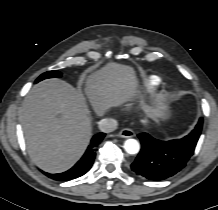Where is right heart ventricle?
<instances>
[{
  "instance_id": "right-heart-ventricle-1",
  "label": "right heart ventricle",
  "mask_w": 218,
  "mask_h": 210,
  "mask_svg": "<svg viewBox=\"0 0 218 210\" xmlns=\"http://www.w3.org/2000/svg\"><path fill=\"white\" fill-rule=\"evenodd\" d=\"M159 80L154 76H150L143 81V89L145 92L156 91L159 87Z\"/></svg>"
}]
</instances>
